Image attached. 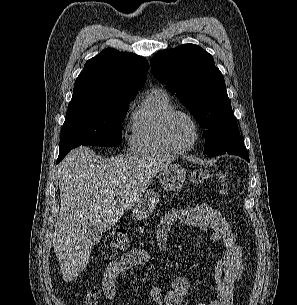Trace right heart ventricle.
<instances>
[{
  "mask_svg": "<svg viewBox=\"0 0 297 305\" xmlns=\"http://www.w3.org/2000/svg\"><path fill=\"white\" fill-rule=\"evenodd\" d=\"M174 109L176 107L166 91L155 89L149 92L133 113L128 139L130 149L148 154L172 153L162 138L161 122Z\"/></svg>",
  "mask_w": 297,
  "mask_h": 305,
  "instance_id": "e07e8e85",
  "label": "right heart ventricle"
}]
</instances>
